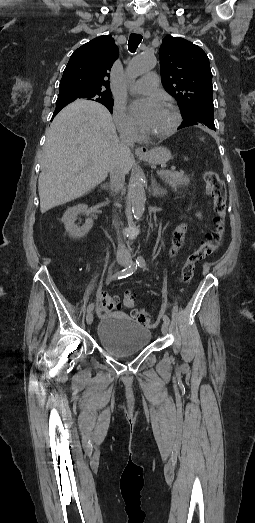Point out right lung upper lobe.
I'll list each match as a JSON object with an SVG mask.
<instances>
[{
    "instance_id": "cb5924a9",
    "label": "right lung upper lobe",
    "mask_w": 255,
    "mask_h": 523,
    "mask_svg": "<svg viewBox=\"0 0 255 523\" xmlns=\"http://www.w3.org/2000/svg\"><path fill=\"white\" fill-rule=\"evenodd\" d=\"M118 55V47L110 35L99 36L84 44L71 55L60 81L59 91L81 90L112 94L108 78ZM67 104L69 103L56 102L53 117ZM103 105L112 112L113 102Z\"/></svg>"
}]
</instances>
